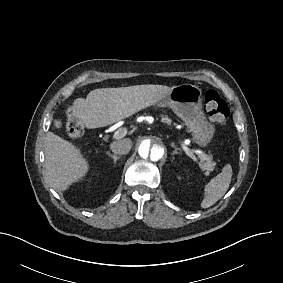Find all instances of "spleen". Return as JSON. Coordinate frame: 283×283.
I'll list each match as a JSON object with an SVG mask.
<instances>
[{
  "mask_svg": "<svg viewBox=\"0 0 283 283\" xmlns=\"http://www.w3.org/2000/svg\"><path fill=\"white\" fill-rule=\"evenodd\" d=\"M232 178V167L225 164L221 173L206 184L204 189V198L200 208L206 209L215 204L226 193Z\"/></svg>",
  "mask_w": 283,
  "mask_h": 283,
  "instance_id": "spleen-1",
  "label": "spleen"
}]
</instances>
